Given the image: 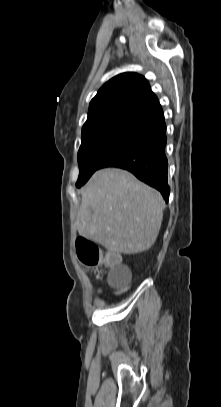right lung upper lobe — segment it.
<instances>
[{
    "instance_id": "cb5924a9",
    "label": "right lung upper lobe",
    "mask_w": 221,
    "mask_h": 407,
    "mask_svg": "<svg viewBox=\"0 0 221 407\" xmlns=\"http://www.w3.org/2000/svg\"><path fill=\"white\" fill-rule=\"evenodd\" d=\"M161 111L148 81L136 73H123L105 83L90 102L82 136L116 125L140 126Z\"/></svg>"
}]
</instances>
